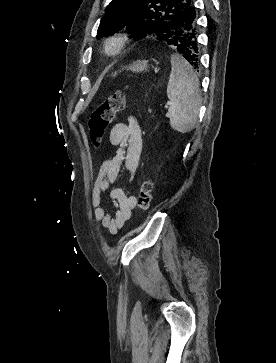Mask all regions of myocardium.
Returning <instances> with one entry per match:
<instances>
[{
    "label": "myocardium",
    "mask_w": 276,
    "mask_h": 363,
    "mask_svg": "<svg viewBox=\"0 0 276 363\" xmlns=\"http://www.w3.org/2000/svg\"><path fill=\"white\" fill-rule=\"evenodd\" d=\"M129 35L126 32L118 31L110 36H108L105 40V53L108 56H117L119 55L127 46L129 42Z\"/></svg>",
    "instance_id": "myocardium-1"
}]
</instances>
